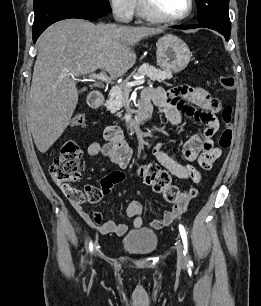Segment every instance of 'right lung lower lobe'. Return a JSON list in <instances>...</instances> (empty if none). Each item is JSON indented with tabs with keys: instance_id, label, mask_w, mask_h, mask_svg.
<instances>
[{
	"instance_id": "1",
	"label": "right lung lower lobe",
	"mask_w": 261,
	"mask_h": 306,
	"mask_svg": "<svg viewBox=\"0 0 261 306\" xmlns=\"http://www.w3.org/2000/svg\"><path fill=\"white\" fill-rule=\"evenodd\" d=\"M33 42L51 24L69 18L93 20L106 16L109 11L72 2L34 0Z\"/></svg>"
}]
</instances>
